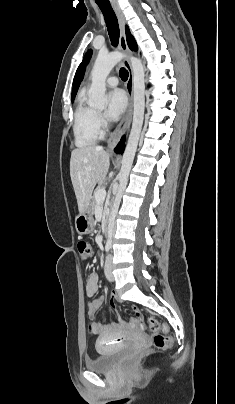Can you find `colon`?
<instances>
[{
  "instance_id": "1",
  "label": "colon",
  "mask_w": 235,
  "mask_h": 404,
  "mask_svg": "<svg viewBox=\"0 0 235 404\" xmlns=\"http://www.w3.org/2000/svg\"><path fill=\"white\" fill-rule=\"evenodd\" d=\"M78 251L83 260H87L92 256V248L91 246L86 242V241H80L78 243ZM138 313V311H135ZM132 326L137 328L138 330H144L145 329V322L141 318H135L131 320ZM148 328L150 332L154 334V346L157 349L165 350L170 348L172 341L171 338L167 335L160 334L159 331L163 330L165 331L167 329L166 325L160 322L157 318L155 317H150L148 319Z\"/></svg>"
}]
</instances>
